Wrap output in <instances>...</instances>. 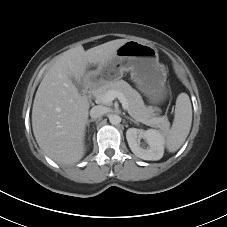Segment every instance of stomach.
Returning a JSON list of instances; mask_svg holds the SVG:
<instances>
[{
	"mask_svg": "<svg viewBox=\"0 0 227 227\" xmlns=\"http://www.w3.org/2000/svg\"><path fill=\"white\" fill-rule=\"evenodd\" d=\"M124 72H130L131 79L153 103H160L166 98L167 70L159 62L155 47L128 40L116 50L110 60L89 72V77L105 84L119 80Z\"/></svg>",
	"mask_w": 227,
	"mask_h": 227,
	"instance_id": "stomach-1",
	"label": "stomach"
}]
</instances>
